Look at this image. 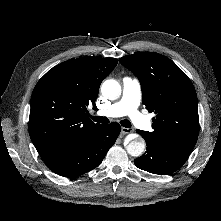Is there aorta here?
Returning <instances> with one entry per match:
<instances>
[{
    "label": "aorta",
    "instance_id": "obj_1",
    "mask_svg": "<svg viewBox=\"0 0 221 221\" xmlns=\"http://www.w3.org/2000/svg\"><path fill=\"white\" fill-rule=\"evenodd\" d=\"M101 93L105 98L115 100L121 95V86L116 80H106L101 85ZM126 150L129 155L133 157H139L143 154L145 150V141L142 138L133 139L126 146Z\"/></svg>",
    "mask_w": 221,
    "mask_h": 221
}]
</instances>
